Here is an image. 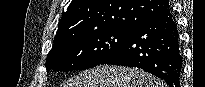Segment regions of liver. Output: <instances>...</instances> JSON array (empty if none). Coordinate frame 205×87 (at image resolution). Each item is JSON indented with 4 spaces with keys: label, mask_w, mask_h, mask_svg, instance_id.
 Instances as JSON below:
<instances>
[{
    "label": "liver",
    "mask_w": 205,
    "mask_h": 87,
    "mask_svg": "<svg viewBox=\"0 0 205 87\" xmlns=\"http://www.w3.org/2000/svg\"><path fill=\"white\" fill-rule=\"evenodd\" d=\"M64 87H164L161 81L141 70L102 65L79 73Z\"/></svg>",
    "instance_id": "liver-1"
}]
</instances>
